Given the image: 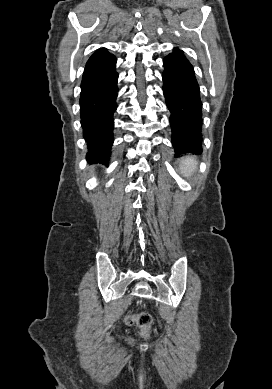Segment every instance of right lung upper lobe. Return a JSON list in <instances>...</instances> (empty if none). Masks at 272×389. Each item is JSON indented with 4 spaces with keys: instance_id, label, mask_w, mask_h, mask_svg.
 <instances>
[{
    "instance_id": "1",
    "label": "right lung upper lobe",
    "mask_w": 272,
    "mask_h": 389,
    "mask_svg": "<svg viewBox=\"0 0 272 389\" xmlns=\"http://www.w3.org/2000/svg\"><path fill=\"white\" fill-rule=\"evenodd\" d=\"M110 56H112V54H110L107 49L100 48L89 58L86 65L93 64Z\"/></svg>"
}]
</instances>
